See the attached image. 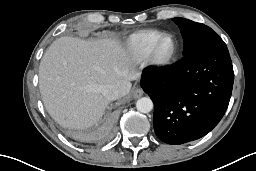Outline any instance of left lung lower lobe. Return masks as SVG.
<instances>
[{
    "instance_id": "1",
    "label": "left lung lower lobe",
    "mask_w": 256,
    "mask_h": 171,
    "mask_svg": "<svg viewBox=\"0 0 256 171\" xmlns=\"http://www.w3.org/2000/svg\"><path fill=\"white\" fill-rule=\"evenodd\" d=\"M233 80L227 46L193 51L173 66L146 68L140 83L154 102L158 138L177 145L210 132L228 107Z\"/></svg>"
}]
</instances>
